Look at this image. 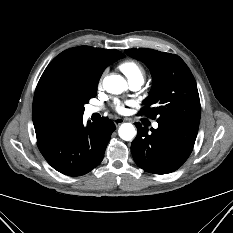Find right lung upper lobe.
Wrapping results in <instances>:
<instances>
[{"mask_svg":"<svg viewBox=\"0 0 233 233\" xmlns=\"http://www.w3.org/2000/svg\"><path fill=\"white\" fill-rule=\"evenodd\" d=\"M124 54L112 49L80 46L56 56L43 72L33 99L36 137L54 132L82 115L73 92L80 85H97L103 70Z\"/></svg>","mask_w":233,"mask_h":233,"instance_id":"cb5924a9","label":"right lung upper lobe"}]
</instances>
